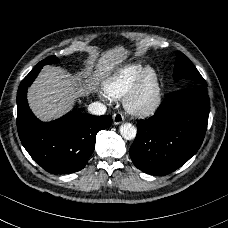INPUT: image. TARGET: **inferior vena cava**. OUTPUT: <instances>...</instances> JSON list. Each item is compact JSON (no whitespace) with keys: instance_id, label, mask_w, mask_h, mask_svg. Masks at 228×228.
I'll return each instance as SVG.
<instances>
[{"instance_id":"obj_1","label":"inferior vena cava","mask_w":228,"mask_h":228,"mask_svg":"<svg viewBox=\"0 0 228 228\" xmlns=\"http://www.w3.org/2000/svg\"><path fill=\"white\" fill-rule=\"evenodd\" d=\"M106 109V106L100 102H93L88 106V111L93 115H103Z\"/></svg>"}]
</instances>
